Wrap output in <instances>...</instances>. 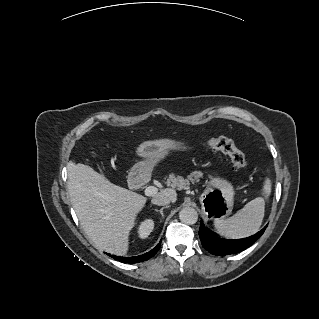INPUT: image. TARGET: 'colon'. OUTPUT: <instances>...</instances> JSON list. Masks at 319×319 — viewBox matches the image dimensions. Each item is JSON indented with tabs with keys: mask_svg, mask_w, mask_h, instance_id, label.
Instances as JSON below:
<instances>
[{
	"mask_svg": "<svg viewBox=\"0 0 319 319\" xmlns=\"http://www.w3.org/2000/svg\"><path fill=\"white\" fill-rule=\"evenodd\" d=\"M205 146L209 149L227 154L237 169L246 168L247 161L244 158V155L232 144V142L226 139L212 138L206 141Z\"/></svg>",
	"mask_w": 319,
	"mask_h": 319,
	"instance_id": "1",
	"label": "colon"
}]
</instances>
